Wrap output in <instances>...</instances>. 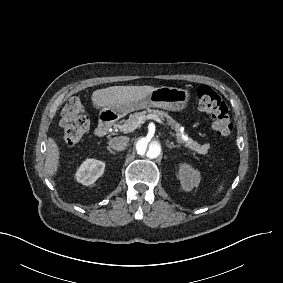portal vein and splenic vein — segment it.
I'll return each instance as SVG.
<instances>
[{
	"label": "portal vein and splenic vein",
	"mask_w": 283,
	"mask_h": 283,
	"mask_svg": "<svg viewBox=\"0 0 283 283\" xmlns=\"http://www.w3.org/2000/svg\"><path fill=\"white\" fill-rule=\"evenodd\" d=\"M148 117L151 118V119H153V120H155L157 123H159L160 125L164 126L165 128H167L166 124H165L160 118H158L157 116H155V115H149ZM141 122H142V121H139L138 123H136L134 126H132V127L130 128L129 131H124L123 129H122V131L125 132V133L131 132V131H133L134 129H136V128L141 124Z\"/></svg>",
	"instance_id": "obj_1"
}]
</instances>
